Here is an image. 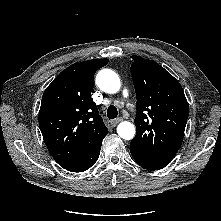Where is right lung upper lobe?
I'll use <instances>...</instances> for the list:
<instances>
[{"label": "right lung upper lobe", "mask_w": 221, "mask_h": 221, "mask_svg": "<svg viewBox=\"0 0 221 221\" xmlns=\"http://www.w3.org/2000/svg\"><path fill=\"white\" fill-rule=\"evenodd\" d=\"M108 61L93 59L72 64L43 94L39 126L49 153L63 168L108 133L91 98L94 74Z\"/></svg>", "instance_id": "1"}]
</instances>
